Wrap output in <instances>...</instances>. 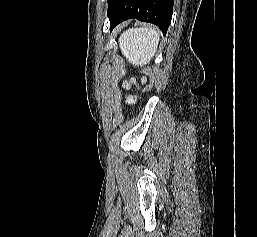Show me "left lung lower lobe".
I'll return each instance as SVG.
<instances>
[{
    "label": "left lung lower lobe",
    "mask_w": 257,
    "mask_h": 237,
    "mask_svg": "<svg viewBox=\"0 0 257 237\" xmlns=\"http://www.w3.org/2000/svg\"><path fill=\"white\" fill-rule=\"evenodd\" d=\"M110 30L119 23L136 18L157 25L165 35L171 23L173 0H108Z\"/></svg>",
    "instance_id": "left-lung-lower-lobe-1"
}]
</instances>
